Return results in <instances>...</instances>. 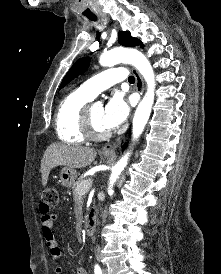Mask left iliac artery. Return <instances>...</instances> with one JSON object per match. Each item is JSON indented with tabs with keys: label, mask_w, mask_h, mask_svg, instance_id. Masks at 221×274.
<instances>
[{
	"label": "left iliac artery",
	"mask_w": 221,
	"mask_h": 274,
	"mask_svg": "<svg viewBox=\"0 0 221 274\" xmlns=\"http://www.w3.org/2000/svg\"><path fill=\"white\" fill-rule=\"evenodd\" d=\"M94 273L95 274H102V270L98 264L95 265L94 267Z\"/></svg>",
	"instance_id": "1"
}]
</instances>
